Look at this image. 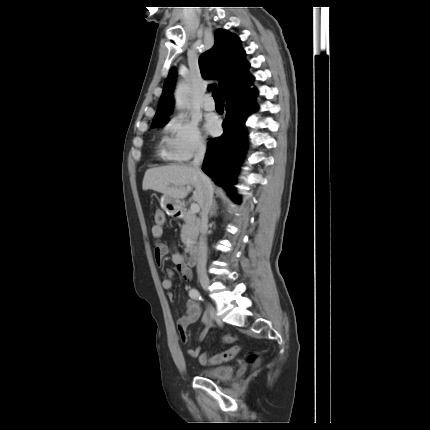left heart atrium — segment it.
<instances>
[{
  "label": "left heart atrium",
  "instance_id": "left-heart-atrium-1",
  "mask_svg": "<svg viewBox=\"0 0 430 430\" xmlns=\"http://www.w3.org/2000/svg\"><path fill=\"white\" fill-rule=\"evenodd\" d=\"M206 129L210 132L213 133L216 131L217 129V122L215 120H211L210 122H208V124L206 125Z\"/></svg>",
  "mask_w": 430,
  "mask_h": 430
}]
</instances>
